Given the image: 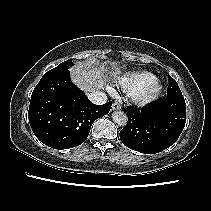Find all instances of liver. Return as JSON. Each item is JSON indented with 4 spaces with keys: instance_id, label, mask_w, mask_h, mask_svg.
I'll return each instance as SVG.
<instances>
[{
    "instance_id": "6515ba94",
    "label": "liver",
    "mask_w": 211,
    "mask_h": 211,
    "mask_svg": "<svg viewBox=\"0 0 211 211\" xmlns=\"http://www.w3.org/2000/svg\"><path fill=\"white\" fill-rule=\"evenodd\" d=\"M105 66L99 61L78 64L70 69L72 82L86 93L95 92L104 86L108 75H120V66L117 63H112L111 67Z\"/></svg>"
}]
</instances>
